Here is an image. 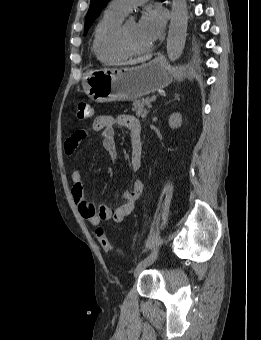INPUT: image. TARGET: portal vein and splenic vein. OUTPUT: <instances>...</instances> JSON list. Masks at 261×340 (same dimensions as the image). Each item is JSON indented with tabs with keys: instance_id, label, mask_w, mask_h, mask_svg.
I'll list each match as a JSON object with an SVG mask.
<instances>
[{
	"instance_id": "18ae733b",
	"label": "portal vein and splenic vein",
	"mask_w": 261,
	"mask_h": 340,
	"mask_svg": "<svg viewBox=\"0 0 261 340\" xmlns=\"http://www.w3.org/2000/svg\"><path fill=\"white\" fill-rule=\"evenodd\" d=\"M152 107H153L152 104H148V105H147V108H148V109H151Z\"/></svg>"
}]
</instances>
